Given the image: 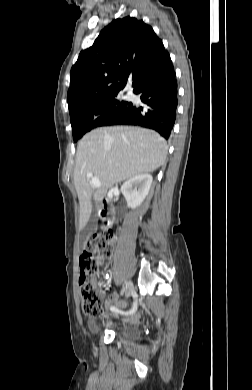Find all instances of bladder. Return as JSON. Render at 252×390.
Segmentation results:
<instances>
[{
  "label": "bladder",
  "instance_id": "1",
  "mask_svg": "<svg viewBox=\"0 0 252 390\" xmlns=\"http://www.w3.org/2000/svg\"><path fill=\"white\" fill-rule=\"evenodd\" d=\"M89 330L91 333H98L101 331V328L100 326H98L97 324H91L89 326ZM116 335L124 340V341H127V342H135L138 337H139V334L136 330V326L133 325V324H122L118 327V330L116 331Z\"/></svg>",
  "mask_w": 252,
  "mask_h": 390
}]
</instances>
